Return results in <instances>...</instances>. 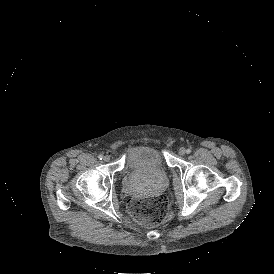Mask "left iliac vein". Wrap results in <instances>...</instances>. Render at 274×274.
I'll use <instances>...</instances> for the list:
<instances>
[{"label":"left iliac vein","mask_w":274,"mask_h":274,"mask_svg":"<svg viewBox=\"0 0 274 274\" xmlns=\"http://www.w3.org/2000/svg\"><path fill=\"white\" fill-rule=\"evenodd\" d=\"M178 154L181 155V156H183V155L186 154V150H185L183 147H180V148L178 149Z\"/></svg>","instance_id":"4c4485c4"}]
</instances>
